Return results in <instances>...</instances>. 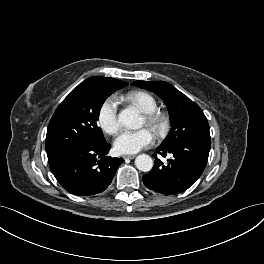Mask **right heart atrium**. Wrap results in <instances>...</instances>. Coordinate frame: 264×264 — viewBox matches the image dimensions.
Segmentation results:
<instances>
[{
    "mask_svg": "<svg viewBox=\"0 0 264 264\" xmlns=\"http://www.w3.org/2000/svg\"><path fill=\"white\" fill-rule=\"evenodd\" d=\"M97 121L101 129L114 134L119 129L118 100L114 96L107 97L100 105L97 113Z\"/></svg>",
    "mask_w": 264,
    "mask_h": 264,
    "instance_id": "obj_1",
    "label": "right heart atrium"
}]
</instances>
